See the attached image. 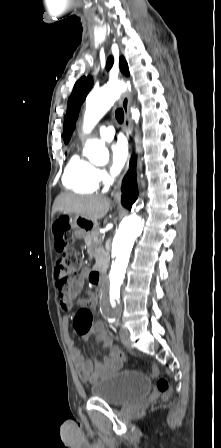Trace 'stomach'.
<instances>
[{
  "instance_id": "stomach-1",
  "label": "stomach",
  "mask_w": 221,
  "mask_h": 448,
  "mask_svg": "<svg viewBox=\"0 0 221 448\" xmlns=\"http://www.w3.org/2000/svg\"><path fill=\"white\" fill-rule=\"evenodd\" d=\"M70 224L74 230V235L78 239L85 238L91 230L97 227L96 222L88 220L80 215L70 217Z\"/></svg>"
}]
</instances>
